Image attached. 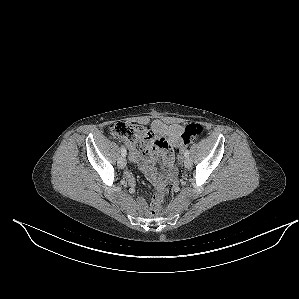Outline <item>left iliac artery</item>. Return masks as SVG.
Masks as SVG:
<instances>
[{"label": "left iliac artery", "instance_id": "44dca946", "mask_svg": "<svg viewBox=\"0 0 299 299\" xmlns=\"http://www.w3.org/2000/svg\"><path fill=\"white\" fill-rule=\"evenodd\" d=\"M189 150H186L185 152H184V156L186 157V158H189Z\"/></svg>", "mask_w": 299, "mask_h": 299}]
</instances>
